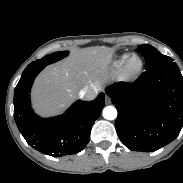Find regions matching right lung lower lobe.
Masks as SVG:
<instances>
[{
    "mask_svg": "<svg viewBox=\"0 0 183 183\" xmlns=\"http://www.w3.org/2000/svg\"><path fill=\"white\" fill-rule=\"evenodd\" d=\"M45 65H28L14 92V119L27 143L37 151L54 157L79 153L90 139L95 120L105 105V94L93 101H77L64 114L40 118L30 104V90Z\"/></svg>",
    "mask_w": 183,
    "mask_h": 183,
    "instance_id": "obj_1",
    "label": "right lung lower lobe"
}]
</instances>
